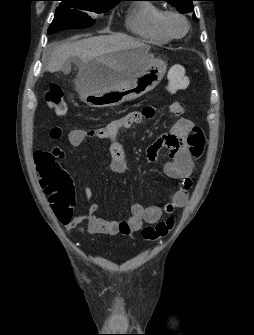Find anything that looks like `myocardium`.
Instances as JSON below:
<instances>
[{"mask_svg":"<svg viewBox=\"0 0 254 335\" xmlns=\"http://www.w3.org/2000/svg\"><path fill=\"white\" fill-rule=\"evenodd\" d=\"M170 17H177L179 19H181L183 21V23L185 24V31L180 34V35H176L174 33H172L168 27L167 21ZM159 27L161 29V31L170 39H180L182 37H184L189 29H190V23L187 19V17L182 14L181 12L175 11V10H167L164 11L159 19Z\"/></svg>","mask_w":254,"mask_h":335,"instance_id":"myocardium-1","label":"myocardium"}]
</instances>
